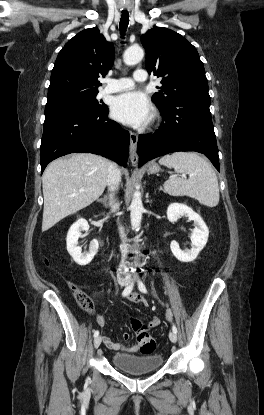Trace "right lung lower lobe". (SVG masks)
Listing matches in <instances>:
<instances>
[{
    "label": "right lung lower lobe",
    "instance_id": "1",
    "mask_svg": "<svg viewBox=\"0 0 264 415\" xmlns=\"http://www.w3.org/2000/svg\"><path fill=\"white\" fill-rule=\"evenodd\" d=\"M108 107L97 112L61 111L45 115L41 173L54 159L69 153H94L126 167L129 133L108 118Z\"/></svg>",
    "mask_w": 264,
    "mask_h": 415
}]
</instances>
